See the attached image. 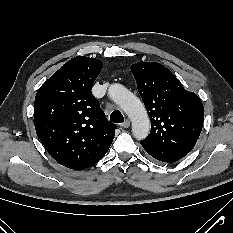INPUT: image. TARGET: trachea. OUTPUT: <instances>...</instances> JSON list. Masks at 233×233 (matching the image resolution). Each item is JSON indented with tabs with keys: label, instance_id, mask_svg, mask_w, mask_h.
Returning <instances> with one entry per match:
<instances>
[{
	"label": "trachea",
	"instance_id": "1",
	"mask_svg": "<svg viewBox=\"0 0 233 233\" xmlns=\"http://www.w3.org/2000/svg\"><path fill=\"white\" fill-rule=\"evenodd\" d=\"M110 121L114 123H122L124 122V117L120 111L116 110L111 113Z\"/></svg>",
	"mask_w": 233,
	"mask_h": 233
}]
</instances>
